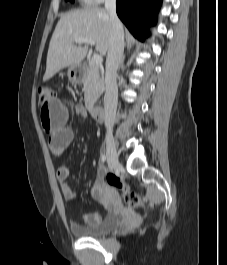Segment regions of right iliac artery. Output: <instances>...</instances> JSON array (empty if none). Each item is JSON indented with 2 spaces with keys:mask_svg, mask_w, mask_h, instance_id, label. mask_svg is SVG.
<instances>
[{
  "mask_svg": "<svg viewBox=\"0 0 227 265\" xmlns=\"http://www.w3.org/2000/svg\"><path fill=\"white\" fill-rule=\"evenodd\" d=\"M101 161H102L103 163L106 161V156H105V154H102V156H101Z\"/></svg>",
  "mask_w": 227,
  "mask_h": 265,
  "instance_id": "82829eb1",
  "label": "right iliac artery"
}]
</instances>
